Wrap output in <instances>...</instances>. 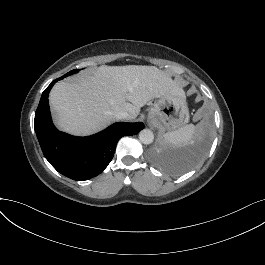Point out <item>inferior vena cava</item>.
I'll use <instances>...</instances> for the list:
<instances>
[{"label":"inferior vena cava","instance_id":"inferior-vena-cava-1","mask_svg":"<svg viewBox=\"0 0 265 265\" xmlns=\"http://www.w3.org/2000/svg\"><path fill=\"white\" fill-rule=\"evenodd\" d=\"M113 115L116 119L120 120V119H128V112L123 111V110H116L113 112Z\"/></svg>","mask_w":265,"mask_h":265}]
</instances>
